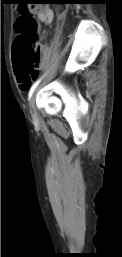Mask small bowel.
<instances>
[{
    "label": "small bowel",
    "instance_id": "small-bowel-1",
    "mask_svg": "<svg viewBox=\"0 0 122 257\" xmlns=\"http://www.w3.org/2000/svg\"><path fill=\"white\" fill-rule=\"evenodd\" d=\"M37 18L45 23V24H50L52 23L53 21V17H54V14H53V11L51 8H49L48 6H39V7H36L35 10H34ZM43 52H44V55L45 57L47 56V48L46 47H43L42 48ZM17 81L19 83V87L22 89V90H26L28 88V86L30 85V82H31V79L27 80L25 78H22L20 76L17 75Z\"/></svg>",
    "mask_w": 122,
    "mask_h": 257
}]
</instances>
